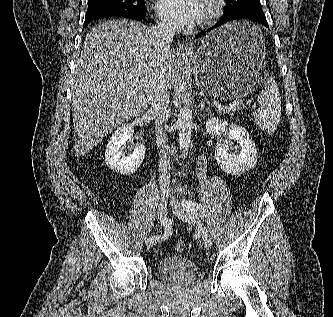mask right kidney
Instances as JSON below:
<instances>
[{"label": "right kidney", "mask_w": 333, "mask_h": 317, "mask_svg": "<svg viewBox=\"0 0 333 317\" xmlns=\"http://www.w3.org/2000/svg\"><path fill=\"white\" fill-rule=\"evenodd\" d=\"M133 134L134 128L129 124H123L112 134L105 151L108 168L123 175H131L140 167L146 152L143 144L135 145L129 156H125L124 152L126 142Z\"/></svg>", "instance_id": "1"}]
</instances>
